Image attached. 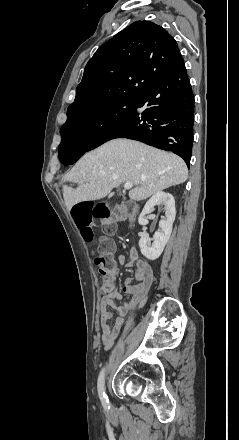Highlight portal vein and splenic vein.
I'll list each match as a JSON object with an SVG mask.
<instances>
[{
    "label": "portal vein and splenic vein",
    "instance_id": "obj_1",
    "mask_svg": "<svg viewBox=\"0 0 239 440\" xmlns=\"http://www.w3.org/2000/svg\"><path fill=\"white\" fill-rule=\"evenodd\" d=\"M130 188H133V184H131V182H128V184H124V190H130Z\"/></svg>",
    "mask_w": 239,
    "mask_h": 440
}]
</instances>
